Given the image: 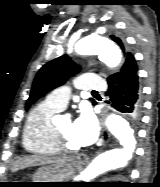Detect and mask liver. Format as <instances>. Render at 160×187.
<instances>
[{"label":"liver","mask_w":160,"mask_h":187,"mask_svg":"<svg viewBox=\"0 0 160 187\" xmlns=\"http://www.w3.org/2000/svg\"><path fill=\"white\" fill-rule=\"evenodd\" d=\"M61 159L63 158L43 157V156H37V155L24 156L14 162L11 170L12 172H16L18 170L31 167V166L49 165Z\"/></svg>","instance_id":"6515ba94"}]
</instances>
